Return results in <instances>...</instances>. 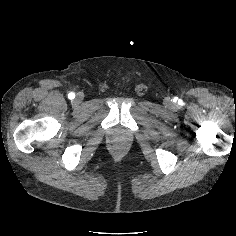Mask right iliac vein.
<instances>
[{
    "label": "right iliac vein",
    "instance_id": "63e3f726",
    "mask_svg": "<svg viewBox=\"0 0 236 236\" xmlns=\"http://www.w3.org/2000/svg\"><path fill=\"white\" fill-rule=\"evenodd\" d=\"M76 100H77V101H81V100H82V95H81V94H78L77 97H76Z\"/></svg>",
    "mask_w": 236,
    "mask_h": 236
}]
</instances>
